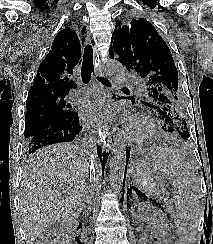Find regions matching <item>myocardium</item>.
Listing matches in <instances>:
<instances>
[{
    "label": "myocardium",
    "mask_w": 213,
    "mask_h": 244,
    "mask_svg": "<svg viewBox=\"0 0 213 244\" xmlns=\"http://www.w3.org/2000/svg\"><path fill=\"white\" fill-rule=\"evenodd\" d=\"M138 126V129H134ZM155 131V125L151 118L144 114H137L125 132V138L129 141L141 142L150 138Z\"/></svg>",
    "instance_id": "1"
}]
</instances>
